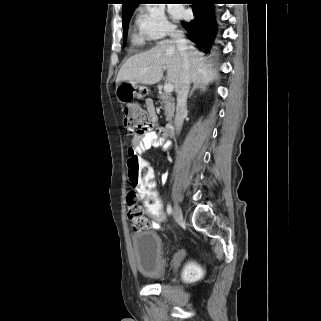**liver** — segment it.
Segmentation results:
<instances>
[{"instance_id": "6515ba94", "label": "liver", "mask_w": 321, "mask_h": 321, "mask_svg": "<svg viewBox=\"0 0 321 321\" xmlns=\"http://www.w3.org/2000/svg\"><path fill=\"white\" fill-rule=\"evenodd\" d=\"M186 42L191 81L208 85L216 80L217 71L206 62V58L192 43ZM163 69H167L166 79L177 90L182 60L175 40H163L148 51L130 57L121 67L116 83L125 81L132 84L153 85L162 79Z\"/></svg>"}]
</instances>
